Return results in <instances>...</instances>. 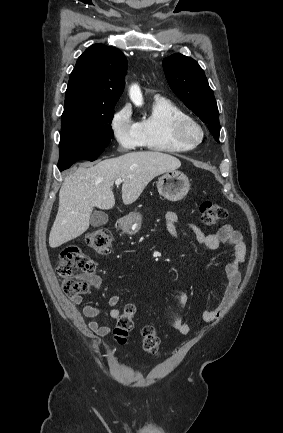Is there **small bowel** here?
Listing matches in <instances>:
<instances>
[{"label":"small bowel","mask_w":283,"mask_h":433,"mask_svg":"<svg viewBox=\"0 0 283 433\" xmlns=\"http://www.w3.org/2000/svg\"><path fill=\"white\" fill-rule=\"evenodd\" d=\"M178 216L174 212H167L165 214L166 229L171 237L178 238L179 233L177 229ZM190 229L194 233L197 242L209 250H216L222 244L231 245L234 248V256L232 261L226 266V289L221 298L220 303L212 309L203 312L202 318L204 322H213L218 320L225 314L228 308L232 305L238 286L241 279V264L245 260L246 245L240 232L236 231L231 225L222 226L216 233L208 234L202 231L198 226L190 224ZM91 284L95 289L100 287V281L97 277L91 279ZM180 302L186 304L188 296L186 293L179 295ZM120 303L119 295H112L108 299V304L111 307L109 315L112 318H118L120 309L117 305ZM82 304L81 296L71 297L66 303V311L69 317L75 322L83 323V318L92 319L88 323V328L100 337L107 336L111 328L100 324L96 318L103 313L101 308L84 305L81 310L79 306ZM172 327L181 334H188L191 330L189 324L184 322L181 317L177 316L172 322Z\"/></svg>","instance_id":"c3829d8e"}]
</instances>
